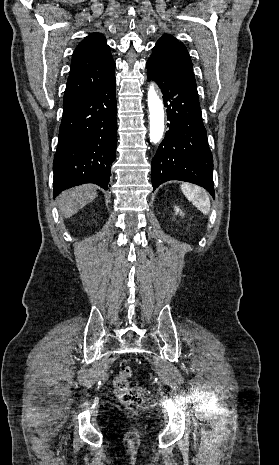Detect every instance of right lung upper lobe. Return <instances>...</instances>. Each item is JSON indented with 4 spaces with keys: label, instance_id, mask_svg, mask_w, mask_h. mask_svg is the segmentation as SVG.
Segmentation results:
<instances>
[{
    "label": "right lung upper lobe",
    "instance_id": "1",
    "mask_svg": "<svg viewBox=\"0 0 279 465\" xmlns=\"http://www.w3.org/2000/svg\"><path fill=\"white\" fill-rule=\"evenodd\" d=\"M115 62L102 34L91 33L76 47L64 93V108L69 109L89 97L114 75Z\"/></svg>",
    "mask_w": 279,
    "mask_h": 465
}]
</instances>
